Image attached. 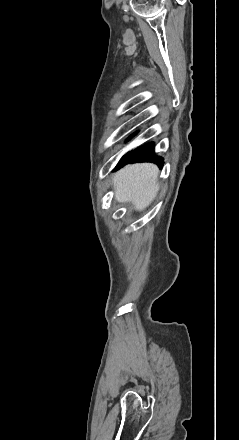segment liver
I'll use <instances>...</instances> for the list:
<instances>
[{"mask_svg":"<svg viewBox=\"0 0 239 440\" xmlns=\"http://www.w3.org/2000/svg\"><path fill=\"white\" fill-rule=\"evenodd\" d=\"M158 174L159 170L154 164L125 166L113 176L116 202L132 204L134 210L143 212L158 194Z\"/></svg>","mask_w":239,"mask_h":440,"instance_id":"6515ba94","label":"liver"}]
</instances>
